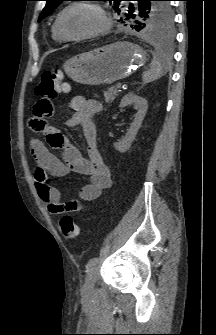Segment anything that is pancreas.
<instances>
[{"mask_svg":"<svg viewBox=\"0 0 216 335\" xmlns=\"http://www.w3.org/2000/svg\"><path fill=\"white\" fill-rule=\"evenodd\" d=\"M117 96V89L115 86H111L104 92L105 102L112 103Z\"/></svg>","mask_w":216,"mask_h":335,"instance_id":"cf45deb5","label":"pancreas"}]
</instances>
